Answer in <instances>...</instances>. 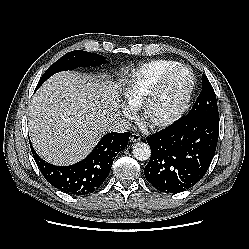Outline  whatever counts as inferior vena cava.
<instances>
[{"label":"inferior vena cava","mask_w":249,"mask_h":249,"mask_svg":"<svg viewBox=\"0 0 249 249\" xmlns=\"http://www.w3.org/2000/svg\"><path fill=\"white\" fill-rule=\"evenodd\" d=\"M131 126H132L131 122H129L125 118L119 117V118L111 121V123L108 126V129L110 131L124 133V132L130 130Z\"/></svg>","instance_id":"inferior-vena-cava-1"}]
</instances>
